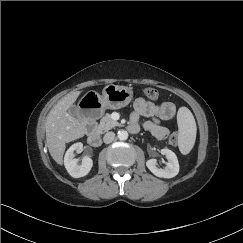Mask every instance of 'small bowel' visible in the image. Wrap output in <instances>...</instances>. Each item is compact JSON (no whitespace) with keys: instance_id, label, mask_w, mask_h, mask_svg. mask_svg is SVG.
Returning <instances> with one entry per match:
<instances>
[{"instance_id":"small-bowel-1","label":"small bowel","mask_w":243,"mask_h":243,"mask_svg":"<svg viewBox=\"0 0 243 243\" xmlns=\"http://www.w3.org/2000/svg\"><path fill=\"white\" fill-rule=\"evenodd\" d=\"M176 116V108L173 103L165 101L155 104L145 98H138L134 103V112L131 115L130 131L138 129V118L147 119L144 128L150 131L157 139L164 140L168 137V130L160 124L162 120H172Z\"/></svg>"}]
</instances>
